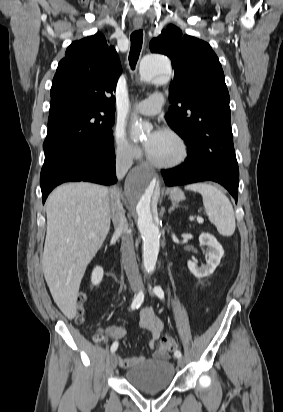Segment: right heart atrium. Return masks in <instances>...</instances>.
<instances>
[{"instance_id":"obj_1","label":"right heart atrium","mask_w":283,"mask_h":412,"mask_svg":"<svg viewBox=\"0 0 283 412\" xmlns=\"http://www.w3.org/2000/svg\"><path fill=\"white\" fill-rule=\"evenodd\" d=\"M112 143L115 155L125 162H133L141 155L140 147L131 141L121 127H115L112 133Z\"/></svg>"}]
</instances>
